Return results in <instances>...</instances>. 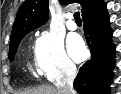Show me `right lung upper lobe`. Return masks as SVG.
<instances>
[{
	"mask_svg": "<svg viewBox=\"0 0 121 94\" xmlns=\"http://www.w3.org/2000/svg\"><path fill=\"white\" fill-rule=\"evenodd\" d=\"M62 4L79 3L82 17L94 11L103 0H60ZM48 20V0H25L20 6L15 19L11 39L18 34L35 29Z\"/></svg>",
	"mask_w": 121,
	"mask_h": 94,
	"instance_id": "right-lung-upper-lobe-1",
	"label": "right lung upper lobe"
}]
</instances>
